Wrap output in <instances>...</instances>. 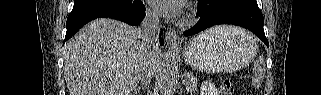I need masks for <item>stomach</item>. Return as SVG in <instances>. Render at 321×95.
<instances>
[{"instance_id": "1", "label": "stomach", "mask_w": 321, "mask_h": 95, "mask_svg": "<svg viewBox=\"0 0 321 95\" xmlns=\"http://www.w3.org/2000/svg\"><path fill=\"white\" fill-rule=\"evenodd\" d=\"M187 64L202 72H232L248 64L257 54V43L244 30L230 27L220 33L203 32L182 50Z\"/></svg>"}]
</instances>
